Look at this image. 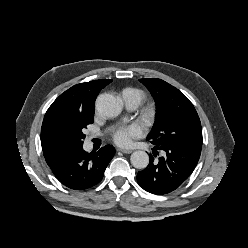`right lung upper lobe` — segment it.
Returning <instances> with one entry per match:
<instances>
[{
	"label": "right lung upper lobe",
	"mask_w": 248,
	"mask_h": 248,
	"mask_svg": "<svg viewBox=\"0 0 248 248\" xmlns=\"http://www.w3.org/2000/svg\"><path fill=\"white\" fill-rule=\"evenodd\" d=\"M111 81L101 79L77 84L62 93L48 108L41 128V145L49 166L75 148L62 134V123L78 114H94L98 93Z\"/></svg>",
	"instance_id": "cb5924a9"
}]
</instances>
